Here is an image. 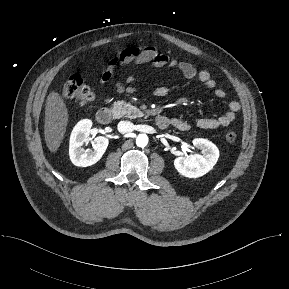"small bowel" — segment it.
I'll return each mask as SVG.
<instances>
[{
	"label": "small bowel",
	"mask_w": 289,
	"mask_h": 289,
	"mask_svg": "<svg viewBox=\"0 0 289 289\" xmlns=\"http://www.w3.org/2000/svg\"><path fill=\"white\" fill-rule=\"evenodd\" d=\"M151 64L155 68L171 67L177 68L185 78L196 79L201 82L208 89L213 90L214 96L218 99H222L226 96V92L217 88V83L211 74L206 70H197L196 67L185 61H178L171 58L165 53H160L155 47H127L118 53H116L108 62V65L100 78V84L109 82L117 66H125L133 64L140 66L143 64ZM134 81V77L129 76L124 84L122 81L116 82L117 93L130 94L134 91L131 85ZM169 90L165 86H159L154 90V95L157 97H164L168 94ZM240 110V103L237 101H231L228 105V110L222 115L214 118H200L195 121V125L200 129L213 130L220 127H226L230 125L236 118V114ZM171 125L181 131H186L190 128V124L180 118H172Z\"/></svg>",
	"instance_id": "c3829d8e"
}]
</instances>
